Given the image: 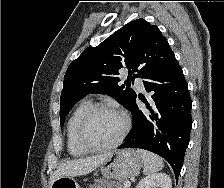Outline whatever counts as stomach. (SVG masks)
Instances as JSON below:
<instances>
[{"instance_id": "0dacf381", "label": "stomach", "mask_w": 224, "mask_h": 188, "mask_svg": "<svg viewBox=\"0 0 224 188\" xmlns=\"http://www.w3.org/2000/svg\"><path fill=\"white\" fill-rule=\"evenodd\" d=\"M142 167V159L133 149L114 150L101 164L100 170L104 177L109 179L125 180L139 174ZM51 188H80L72 178L62 176L51 184Z\"/></svg>"}]
</instances>
